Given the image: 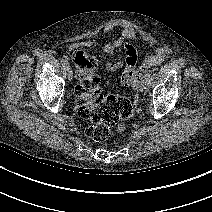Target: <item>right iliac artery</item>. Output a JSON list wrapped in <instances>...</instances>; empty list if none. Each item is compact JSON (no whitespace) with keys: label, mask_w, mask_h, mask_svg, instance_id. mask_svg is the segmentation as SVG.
<instances>
[{"label":"right iliac artery","mask_w":212,"mask_h":212,"mask_svg":"<svg viewBox=\"0 0 212 212\" xmlns=\"http://www.w3.org/2000/svg\"><path fill=\"white\" fill-rule=\"evenodd\" d=\"M61 64L65 67V66H69V63L66 59H62L61 60Z\"/></svg>","instance_id":"1"}]
</instances>
